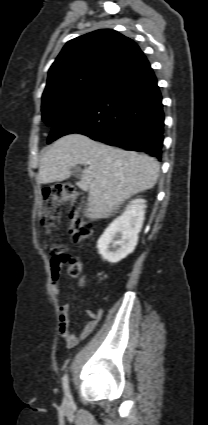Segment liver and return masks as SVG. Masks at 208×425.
<instances>
[{
    "mask_svg": "<svg viewBox=\"0 0 208 425\" xmlns=\"http://www.w3.org/2000/svg\"><path fill=\"white\" fill-rule=\"evenodd\" d=\"M91 162L76 185L89 193L86 216H111L132 195L149 190L157 182L159 162L148 155L124 151L81 134L58 139L42 156L38 182L48 184L66 180L71 168Z\"/></svg>",
    "mask_w": 208,
    "mask_h": 425,
    "instance_id": "liver-1",
    "label": "liver"
}]
</instances>
